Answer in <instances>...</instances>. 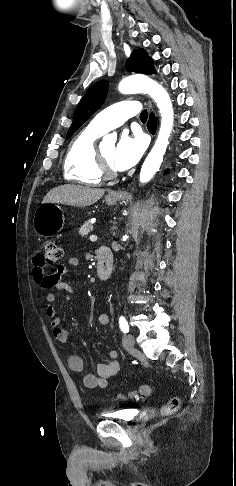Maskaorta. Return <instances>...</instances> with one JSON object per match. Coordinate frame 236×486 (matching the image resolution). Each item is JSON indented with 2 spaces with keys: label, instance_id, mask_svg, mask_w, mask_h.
I'll list each match as a JSON object with an SVG mask.
<instances>
[{
  "label": "aorta",
  "instance_id": "1",
  "mask_svg": "<svg viewBox=\"0 0 236 486\" xmlns=\"http://www.w3.org/2000/svg\"><path fill=\"white\" fill-rule=\"evenodd\" d=\"M118 89L123 94L147 93L153 98L160 110L161 125L159 134L140 171V182L146 183L159 170L169 144L168 139L172 132L174 121L172 103L167 91L156 81L145 76L134 75L127 77L119 83ZM108 138L105 137V139Z\"/></svg>",
  "mask_w": 236,
  "mask_h": 486
}]
</instances>
